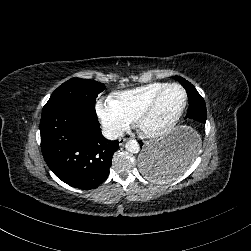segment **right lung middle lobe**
<instances>
[{"label": "right lung middle lobe", "instance_id": "1", "mask_svg": "<svg viewBox=\"0 0 251 251\" xmlns=\"http://www.w3.org/2000/svg\"><path fill=\"white\" fill-rule=\"evenodd\" d=\"M105 85L89 79L73 78L60 85L45 106L54 104H81L94 108L96 98Z\"/></svg>", "mask_w": 251, "mask_h": 251}]
</instances>
